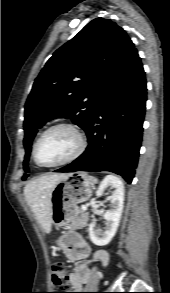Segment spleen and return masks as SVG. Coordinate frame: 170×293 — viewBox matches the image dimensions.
<instances>
[{
	"label": "spleen",
	"mask_w": 170,
	"mask_h": 293,
	"mask_svg": "<svg viewBox=\"0 0 170 293\" xmlns=\"http://www.w3.org/2000/svg\"><path fill=\"white\" fill-rule=\"evenodd\" d=\"M89 178L93 184L97 183V179L95 177L90 176Z\"/></svg>",
	"instance_id": "spleen-1"
}]
</instances>
